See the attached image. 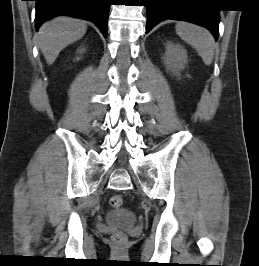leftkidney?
Segmentation results:
<instances>
[{"instance_id": "1", "label": "left kidney", "mask_w": 259, "mask_h": 266, "mask_svg": "<svg viewBox=\"0 0 259 266\" xmlns=\"http://www.w3.org/2000/svg\"><path fill=\"white\" fill-rule=\"evenodd\" d=\"M164 62L169 70L178 73L187 63V51L179 44L168 42Z\"/></svg>"}]
</instances>
